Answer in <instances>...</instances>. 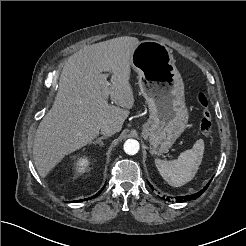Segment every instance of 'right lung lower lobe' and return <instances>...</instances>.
<instances>
[{
  "instance_id": "obj_1",
  "label": "right lung lower lobe",
  "mask_w": 246,
  "mask_h": 246,
  "mask_svg": "<svg viewBox=\"0 0 246 246\" xmlns=\"http://www.w3.org/2000/svg\"><path fill=\"white\" fill-rule=\"evenodd\" d=\"M102 191V190H101ZM101 191H99L96 195H94V196H92V197H90V198H87V199H84V200H79V201H85V200H90V199H92V198H95V197H97L100 193H101ZM76 202V201H75Z\"/></svg>"
}]
</instances>
